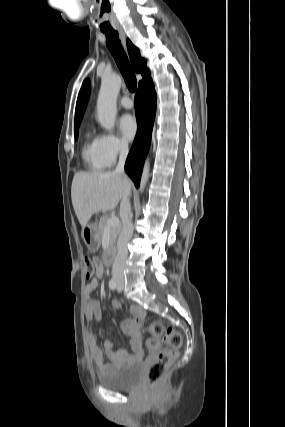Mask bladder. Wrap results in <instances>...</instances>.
Listing matches in <instances>:
<instances>
[{
    "label": "bladder",
    "instance_id": "bladder-1",
    "mask_svg": "<svg viewBox=\"0 0 285 427\" xmlns=\"http://www.w3.org/2000/svg\"><path fill=\"white\" fill-rule=\"evenodd\" d=\"M141 362L129 364L120 370L101 373L97 380L100 384L113 390H131L138 386L141 380Z\"/></svg>",
    "mask_w": 285,
    "mask_h": 427
}]
</instances>
